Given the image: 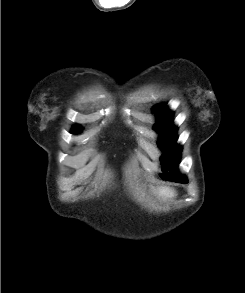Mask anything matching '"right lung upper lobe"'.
Listing matches in <instances>:
<instances>
[{
    "label": "right lung upper lobe",
    "mask_w": 245,
    "mask_h": 293,
    "mask_svg": "<svg viewBox=\"0 0 245 293\" xmlns=\"http://www.w3.org/2000/svg\"><path fill=\"white\" fill-rule=\"evenodd\" d=\"M74 130H80V128H78V126H75Z\"/></svg>",
    "instance_id": "obj_1"
}]
</instances>
